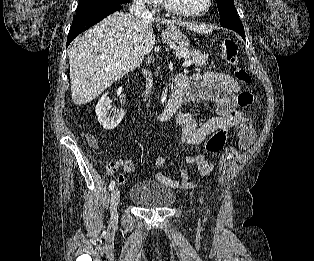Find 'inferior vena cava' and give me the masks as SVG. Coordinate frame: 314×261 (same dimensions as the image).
<instances>
[{
    "label": "inferior vena cava",
    "mask_w": 314,
    "mask_h": 261,
    "mask_svg": "<svg viewBox=\"0 0 314 261\" xmlns=\"http://www.w3.org/2000/svg\"><path fill=\"white\" fill-rule=\"evenodd\" d=\"M131 15L135 16L138 19L142 20H151L152 14L146 10V7L144 5V0H135L134 4L130 7L129 9ZM143 75L146 77V86H145V91L143 93V101L145 102L148 96L151 93L152 89V73L146 69L142 71Z\"/></svg>",
    "instance_id": "602c4592"
}]
</instances>
